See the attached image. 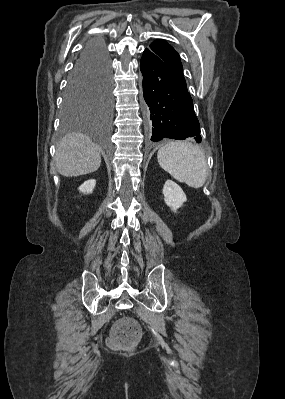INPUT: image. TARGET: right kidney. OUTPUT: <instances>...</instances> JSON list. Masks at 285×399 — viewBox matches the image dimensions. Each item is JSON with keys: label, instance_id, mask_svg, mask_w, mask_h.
I'll use <instances>...</instances> for the list:
<instances>
[{"label": "right kidney", "instance_id": "1", "mask_svg": "<svg viewBox=\"0 0 285 399\" xmlns=\"http://www.w3.org/2000/svg\"><path fill=\"white\" fill-rule=\"evenodd\" d=\"M96 185V180L94 179H89L85 181L80 187L79 191L82 193L90 194L93 192V189L95 188Z\"/></svg>", "mask_w": 285, "mask_h": 399}]
</instances>
